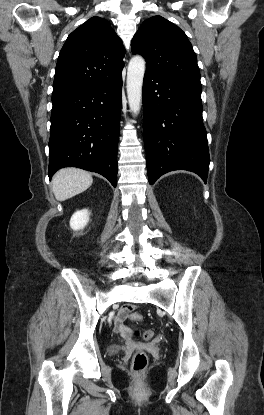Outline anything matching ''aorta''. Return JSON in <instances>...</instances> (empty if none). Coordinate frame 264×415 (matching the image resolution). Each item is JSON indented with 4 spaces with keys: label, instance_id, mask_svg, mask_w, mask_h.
Listing matches in <instances>:
<instances>
[{
    "label": "aorta",
    "instance_id": "1",
    "mask_svg": "<svg viewBox=\"0 0 264 415\" xmlns=\"http://www.w3.org/2000/svg\"><path fill=\"white\" fill-rule=\"evenodd\" d=\"M145 73V60L141 56H134L127 69V97L130 111L137 115L141 107L142 84Z\"/></svg>",
    "mask_w": 264,
    "mask_h": 415
}]
</instances>
